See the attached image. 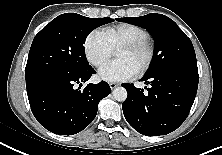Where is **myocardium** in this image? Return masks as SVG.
Here are the masks:
<instances>
[{
  "instance_id": "myocardium-1",
  "label": "myocardium",
  "mask_w": 222,
  "mask_h": 155,
  "mask_svg": "<svg viewBox=\"0 0 222 155\" xmlns=\"http://www.w3.org/2000/svg\"><path fill=\"white\" fill-rule=\"evenodd\" d=\"M124 50L129 52H136L139 50H146L147 52V58L144 64L141 66L140 69L136 71V76L140 77L143 76L145 73L149 71L151 68L154 59H155V48L154 45L151 43L149 39L147 40H139L132 43H127L122 46H120L117 51Z\"/></svg>"
}]
</instances>
